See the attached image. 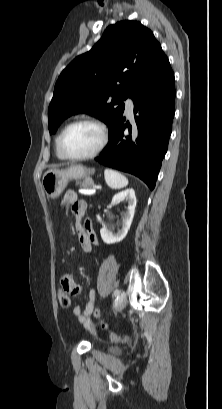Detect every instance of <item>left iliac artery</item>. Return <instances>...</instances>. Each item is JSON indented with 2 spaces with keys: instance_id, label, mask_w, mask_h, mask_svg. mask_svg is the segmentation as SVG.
Wrapping results in <instances>:
<instances>
[{
  "instance_id": "1",
  "label": "left iliac artery",
  "mask_w": 222,
  "mask_h": 409,
  "mask_svg": "<svg viewBox=\"0 0 222 409\" xmlns=\"http://www.w3.org/2000/svg\"><path fill=\"white\" fill-rule=\"evenodd\" d=\"M119 294H120V291L118 289L114 291V296H119Z\"/></svg>"
}]
</instances>
